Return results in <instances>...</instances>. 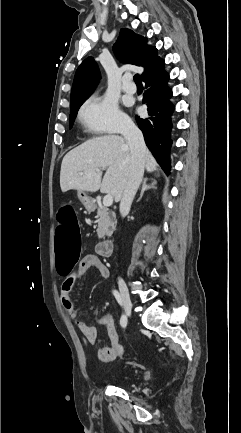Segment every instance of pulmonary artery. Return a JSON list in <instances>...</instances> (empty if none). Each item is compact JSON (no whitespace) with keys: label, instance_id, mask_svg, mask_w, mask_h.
<instances>
[{"label":"pulmonary artery","instance_id":"obj_1","mask_svg":"<svg viewBox=\"0 0 241 433\" xmlns=\"http://www.w3.org/2000/svg\"><path fill=\"white\" fill-rule=\"evenodd\" d=\"M122 88L126 93L133 94L136 92V86L130 81L129 76L124 77Z\"/></svg>","mask_w":241,"mask_h":433}]
</instances>
